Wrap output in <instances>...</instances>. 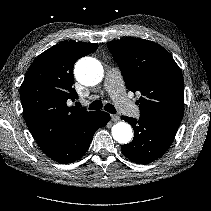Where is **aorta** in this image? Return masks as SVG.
<instances>
[{"instance_id":"1","label":"aorta","mask_w":211,"mask_h":211,"mask_svg":"<svg viewBox=\"0 0 211 211\" xmlns=\"http://www.w3.org/2000/svg\"><path fill=\"white\" fill-rule=\"evenodd\" d=\"M75 77L85 86L98 84L103 78V67L100 62L91 57L80 59L75 65ZM114 140L121 144H127L133 137L131 126L126 122H118L112 127Z\"/></svg>"}]
</instances>
